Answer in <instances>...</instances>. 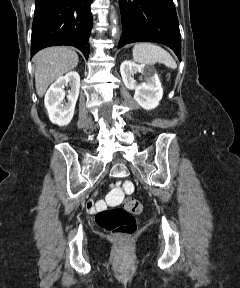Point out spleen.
<instances>
[{
  "instance_id": "1",
  "label": "spleen",
  "mask_w": 240,
  "mask_h": 288,
  "mask_svg": "<svg viewBox=\"0 0 240 288\" xmlns=\"http://www.w3.org/2000/svg\"><path fill=\"white\" fill-rule=\"evenodd\" d=\"M133 59L142 64L152 65L159 62L169 68H177V64L173 57L165 49L152 43L136 44L133 48Z\"/></svg>"
}]
</instances>
